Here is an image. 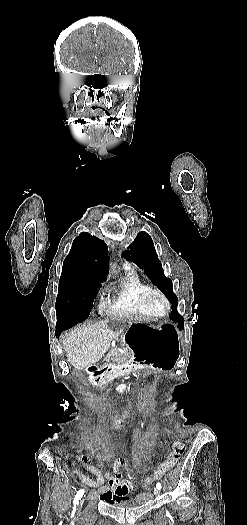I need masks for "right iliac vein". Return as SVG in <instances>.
<instances>
[{
    "mask_svg": "<svg viewBox=\"0 0 247 525\" xmlns=\"http://www.w3.org/2000/svg\"><path fill=\"white\" fill-rule=\"evenodd\" d=\"M84 501H85V498H82L80 501V507L83 505Z\"/></svg>",
    "mask_w": 247,
    "mask_h": 525,
    "instance_id": "1",
    "label": "right iliac vein"
}]
</instances>
